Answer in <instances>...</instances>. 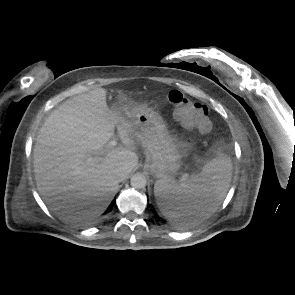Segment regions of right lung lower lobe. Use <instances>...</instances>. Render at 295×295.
Wrapping results in <instances>:
<instances>
[{
    "mask_svg": "<svg viewBox=\"0 0 295 295\" xmlns=\"http://www.w3.org/2000/svg\"><path fill=\"white\" fill-rule=\"evenodd\" d=\"M112 208V205H110V207L108 208V210L106 212H110Z\"/></svg>",
    "mask_w": 295,
    "mask_h": 295,
    "instance_id": "right-lung-lower-lobe-1",
    "label": "right lung lower lobe"
}]
</instances>
